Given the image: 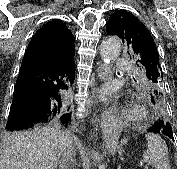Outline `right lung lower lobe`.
<instances>
[{
  "label": "right lung lower lobe",
  "instance_id": "obj_1",
  "mask_svg": "<svg viewBox=\"0 0 177 169\" xmlns=\"http://www.w3.org/2000/svg\"><path fill=\"white\" fill-rule=\"evenodd\" d=\"M75 78V64L23 61L6 129L22 130L42 123L67 125L71 120L65 90Z\"/></svg>",
  "mask_w": 177,
  "mask_h": 169
}]
</instances>
